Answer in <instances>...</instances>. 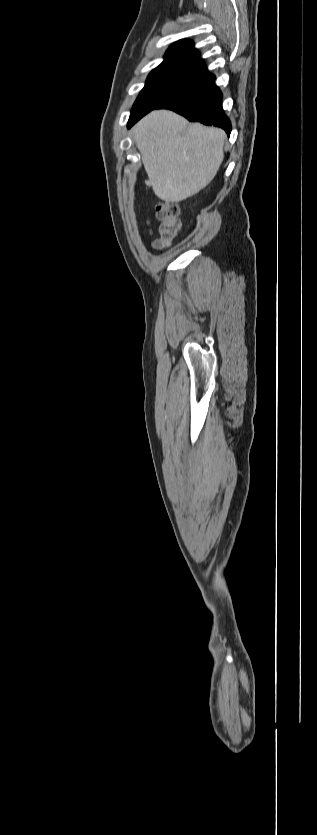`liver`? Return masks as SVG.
Listing matches in <instances>:
<instances>
[{
	"label": "liver",
	"instance_id": "1",
	"mask_svg": "<svg viewBox=\"0 0 317 835\" xmlns=\"http://www.w3.org/2000/svg\"><path fill=\"white\" fill-rule=\"evenodd\" d=\"M133 140L148 175L146 184L165 202L178 203L201 191L223 159L226 134L215 127L189 124L169 110H155L135 126Z\"/></svg>",
	"mask_w": 317,
	"mask_h": 835
}]
</instances>
